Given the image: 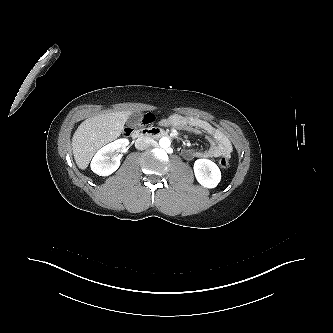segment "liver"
<instances>
[{"label":"liver","instance_id":"1","mask_svg":"<svg viewBox=\"0 0 333 333\" xmlns=\"http://www.w3.org/2000/svg\"><path fill=\"white\" fill-rule=\"evenodd\" d=\"M130 113H101L83 121L72 138L73 154L78 167L86 169L94 154L105 144L118 138Z\"/></svg>","mask_w":333,"mask_h":333}]
</instances>
